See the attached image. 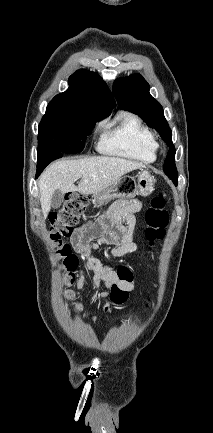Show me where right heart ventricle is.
<instances>
[{"label": "right heart ventricle", "instance_id": "obj_1", "mask_svg": "<svg viewBox=\"0 0 213 433\" xmlns=\"http://www.w3.org/2000/svg\"><path fill=\"white\" fill-rule=\"evenodd\" d=\"M98 147L105 154L153 162L157 158L158 143L152 131L137 116L124 113L113 127L104 132Z\"/></svg>", "mask_w": 213, "mask_h": 433}]
</instances>
